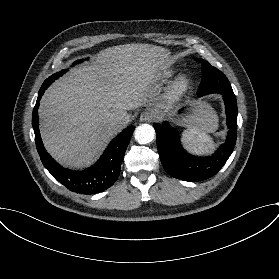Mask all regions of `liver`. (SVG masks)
I'll return each mask as SVG.
<instances>
[{"label":"liver","mask_w":279,"mask_h":279,"mask_svg":"<svg viewBox=\"0 0 279 279\" xmlns=\"http://www.w3.org/2000/svg\"><path fill=\"white\" fill-rule=\"evenodd\" d=\"M168 56L165 49L149 44L122 45L56 82L41 101V132L48 152L65 165L93 162L120 130L108 124L111 116L141 105L154 82L155 67L167 64ZM205 109V104L198 108L192 124Z\"/></svg>","instance_id":"liver-1"}]
</instances>
